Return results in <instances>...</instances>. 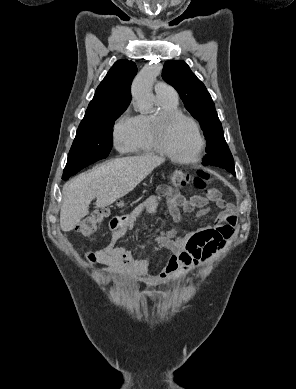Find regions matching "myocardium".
Here are the masks:
<instances>
[{"label": "myocardium", "instance_id": "1", "mask_svg": "<svg viewBox=\"0 0 296 389\" xmlns=\"http://www.w3.org/2000/svg\"><path fill=\"white\" fill-rule=\"evenodd\" d=\"M180 119L189 121L195 128V131L198 136V148L195 155L191 158H181L176 156L168 146L169 129L175 121ZM153 137L159 152H161L171 160L181 164H194L198 162L201 159L206 147V139L197 120L194 119L192 116L187 115L179 110L164 111L157 115V117L153 121Z\"/></svg>", "mask_w": 296, "mask_h": 389}]
</instances>
